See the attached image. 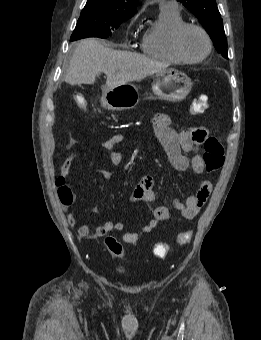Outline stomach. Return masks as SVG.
<instances>
[{
    "mask_svg": "<svg viewBox=\"0 0 261 340\" xmlns=\"http://www.w3.org/2000/svg\"><path fill=\"white\" fill-rule=\"evenodd\" d=\"M192 81L183 72L169 68L157 73L152 83L155 97L170 102L182 101L191 91ZM149 98H152L150 95ZM140 100L138 88L126 83L113 88H104L101 103L108 110L133 109Z\"/></svg>",
    "mask_w": 261,
    "mask_h": 340,
    "instance_id": "stomach-1",
    "label": "stomach"
}]
</instances>
